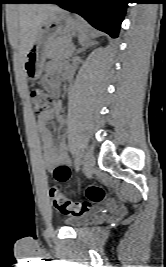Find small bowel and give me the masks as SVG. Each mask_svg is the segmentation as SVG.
<instances>
[{"instance_id":"obj_1","label":"small bowel","mask_w":166,"mask_h":267,"mask_svg":"<svg viewBox=\"0 0 166 267\" xmlns=\"http://www.w3.org/2000/svg\"><path fill=\"white\" fill-rule=\"evenodd\" d=\"M59 71L67 73L68 69L67 67L62 66L58 63L51 62L47 64L46 76L43 79V83L45 86H47L53 91L57 90L58 87V81L55 75ZM60 109L61 104L59 102H56L48 110L39 113L36 117L37 128L41 137L45 167L49 171H51L54 176L56 171L59 169H65L67 171H70L66 144L64 139H61L59 146L56 147L53 141L52 132L47 126V122L49 120L59 115Z\"/></svg>"}]
</instances>
